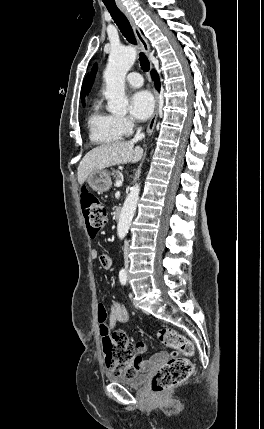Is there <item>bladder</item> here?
Returning a JSON list of instances; mask_svg holds the SVG:
<instances>
[{
    "label": "bladder",
    "instance_id": "bladder-1",
    "mask_svg": "<svg viewBox=\"0 0 264 429\" xmlns=\"http://www.w3.org/2000/svg\"><path fill=\"white\" fill-rule=\"evenodd\" d=\"M107 377L112 382H115L124 386H128V387L137 388L142 386L147 381L149 377V373L140 372V373H134L133 375H130V376H120V375L109 374Z\"/></svg>",
    "mask_w": 264,
    "mask_h": 429
}]
</instances>
